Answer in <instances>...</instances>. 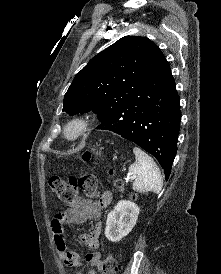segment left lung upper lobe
I'll return each mask as SVG.
<instances>
[{"label":"left lung upper lobe","instance_id":"5c2ea615","mask_svg":"<svg viewBox=\"0 0 221 274\" xmlns=\"http://www.w3.org/2000/svg\"><path fill=\"white\" fill-rule=\"evenodd\" d=\"M166 60L146 37L125 36L93 57L64 96L69 115L93 111L98 118L135 97Z\"/></svg>","mask_w":221,"mask_h":274}]
</instances>
